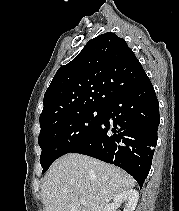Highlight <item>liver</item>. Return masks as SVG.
<instances>
[{
    "mask_svg": "<svg viewBox=\"0 0 179 211\" xmlns=\"http://www.w3.org/2000/svg\"><path fill=\"white\" fill-rule=\"evenodd\" d=\"M135 184L134 178L120 168L69 153L50 166L41 195L45 211H103L114 196ZM82 198L86 204H81Z\"/></svg>",
    "mask_w": 179,
    "mask_h": 211,
    "instance_id": "liver-1",
    "label": "liver"
}]
</instances>
